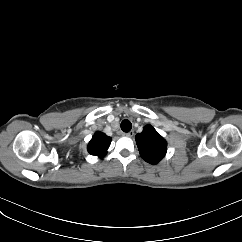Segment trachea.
<instances>
[{"mask_svg": "<svg viewBox=\"0 0 242 242\" xmlns=\"http://www.w3.org/2000/svg\"><path fill=\"white\" fill-rule=\"evenodd\" d=\"M121 129L124 132H129L132 129V124L129 120L125 119L121 122Z\"/></svg>", "mask_w": 242, "mask_h": 242, "instance_id": "trachea-1", "label": "trachea"}]
</instances>
